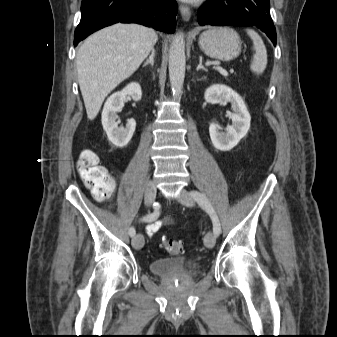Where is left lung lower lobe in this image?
<instances>
[{
    "label": "left lung lower lobe",
    "mask_w": 337,
    "mask_h": 337,
    "mask_svg": "<svg viewBox=\"0 0 337 337\" xmlns=\"http://www.w3.org/2000/svg\"><path fill=\"white\" fill-rule=\"evenodd\" d=\"M198 23L201 26H256L276 46L269 0H207L198 11Z\"/></svg>",
    "instance_id": "1"
}]
</instances>
